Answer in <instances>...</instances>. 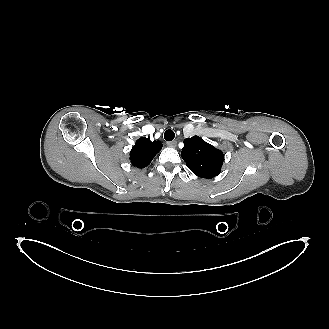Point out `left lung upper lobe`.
Listing matches in <instances>:
<instances>
[{"label": "left lung upper lobe", "mask_w": 329, "mask_h": 329, "mask_svg": "<svg viewBox=\"0 0 329 329\" xmlns=\"http://www.w3.org/2000/svg\"><path fill=\"white\" fill-rule=\"evenodd\" d=\"M181 157L195 175L207 179L217 176L224 162L222 151L198 136L184 140Z\"/></svg>", "instance_id": "left-lung-upper-lobe-1"}]
</instances>
